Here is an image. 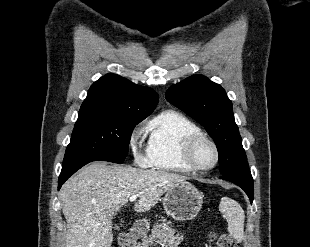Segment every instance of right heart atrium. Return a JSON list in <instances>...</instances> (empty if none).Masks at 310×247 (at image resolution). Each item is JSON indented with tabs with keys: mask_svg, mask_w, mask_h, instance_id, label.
<instances>
[{
	"mask_svg": "<svg viewBox=\"0 0 310 247\" xmlns=\"http://www.w3.org/2000/svg\"><path fill=\"white\" fill-rule=\"evenodd\" d=\"M129 144L137 162L146 166L150 165V160L146 149L143 148V145L139 140L138 134L136 132L131 134Z\"/></svg>",
	"mask_w": 310,
	"mask_h": 247,
	"instance_id": "1",
	"label": "right heart atrium"
}]
</instances>
